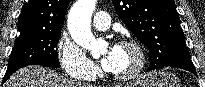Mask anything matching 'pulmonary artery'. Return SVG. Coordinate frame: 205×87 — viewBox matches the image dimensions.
I'll list each match as a JSON object with an SVG mask.
<instances>
[{
  "mask_svg": "<svg viewBox=\"0 0 205 87\" xmlns=\"http://www.w3.org/2000/svg\"><path fill=\"white\" fill-rule=\"evenodd\" d=\"M92 23L98 30H107L111 25V17L105 11H98L94 15Z\"/></svg>",
  "mask_w": 205,
  "mask_h": 87,
  "instance_id": "pulmonary-artery-1",
  "label": "pulmonary artery"
}]
</instances>
